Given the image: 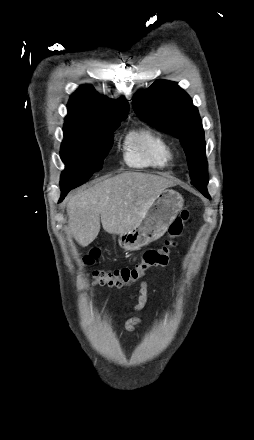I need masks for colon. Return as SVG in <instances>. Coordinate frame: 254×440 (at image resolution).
<instances>
[{
	"mask_svg": "<svg viewBox=\"0 0 254 440\" xmlns=\"http://www.w3.org/2000/svg\"><path fill=\"white\" fill-rule=\"evenodd\" d=\"M189 219V212L183 211L169 226L168 236L164 244L159 248L147 249L136 265L121 267L113 270H94L92 278L96 285L122 287L136 282L142 278L152 267L165 266L168 264L171 252L176 246L178 237ZM99 256V250L93 249L85 257V263L89 264Z\"/></svg>",
	"mask_w": 254,
	"mask_h": 440,
	"instance_id": "1",
	"label": "colon"
}]
</instances>
